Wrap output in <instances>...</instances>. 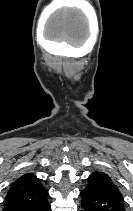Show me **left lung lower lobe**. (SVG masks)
<instances>
[{"instance_id": "0a47b994", "label": "left lung lower lobe", "mask_w": 133, "mask_h": 211, "mask_svg": "<svg viewBox=\"0 0 133 211\" xmlns=\"http://www.w3.org/2000/svg\"><path fill=\"white\" fill-rule=\"evenodd\" d=\"M81 196L82 206L85 211H125L124 200L110 193L101 192L90 187H85Z\"/></svg>"}]
</instances>
